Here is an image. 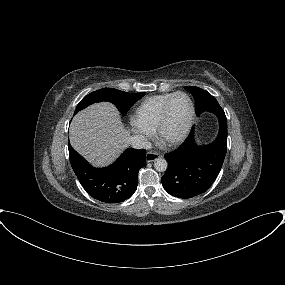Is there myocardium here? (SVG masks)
Here are the masks:
<instances>
[{
	"mask_svg": "<svg viewBox=\"0 0 285 285\" xmlns=\"http://www.w3.org/2000/svg\"><path fill=\"white\" fill-rule=\"evenodd\" d=\"M179 95H183V96L187 97V99L189 100L190 108H191L190 116H189L188 122H187L186 126L184 127V129L182 130V132L175 137L168 138V137H165V135H164V128H165L167 121H168V114H169L170 105H171L172 101ZM195 117H196V108H195V104H194L192 98L190 97V95L186 92H183V91L175 92L167 100V102L165 103V105L162 109L159 121H158L157 126L155 128L157 139L159 140V142L161 144H163L164 146H167V147H172V146H176V145L181 144L183 141H185V139L188 137L189 133L191 132L192 127H193L194 122H195Z\"/></svg>",
	"mask_w": 285,
	"mask_h": 285,
	"instance_id": "obj_1",
	"label": "myocardium"
}]
</instances>
